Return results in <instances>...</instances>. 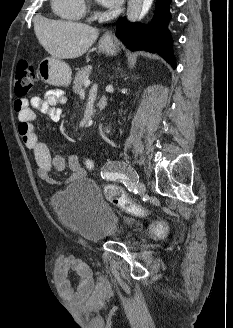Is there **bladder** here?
<instances>
[{"instance_id": "1", "label": "bladder", "mask_w": 233, "mask_h": 328, "mask_svg": "<svg viewBox=\"0 0 233 328\" xmlns=\"http://www.w3.org/2000/svg\"><path fill=\"white\" fill-rule=\"evenodd\" d=\"M51 204L60 219L87 241L98 242L118 232L117 215L91 180L74 181L55 193Z\"/></svg>"}]
</instances>
